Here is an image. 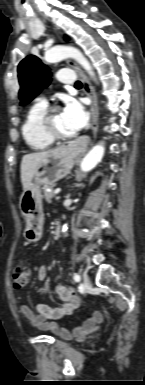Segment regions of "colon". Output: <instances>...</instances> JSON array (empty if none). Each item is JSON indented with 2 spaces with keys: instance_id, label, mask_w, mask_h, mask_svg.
Returning a JSON list of instances; mask_svg holds the SVG:
<instances>
[{
  "instance_id": "obj_1",
  "label": "colon",
  "mask_w": 145,
  "mask_h": 385,
  "mask_svg": "<svg viewBox=\"0 0 145 385\" xmlns=\"http://www.w3.org/2000/svg\"><path fill=\"white\" fill-rule=\"evenodd\" d=\"M31 271L24 263L16 265L13 272V283L16 289H24L30 281Z\"/></svg>"
}]
</instances>
